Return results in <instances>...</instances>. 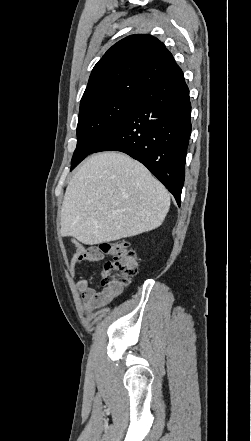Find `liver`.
<instances>
[{
  "label": "liver",
  "mask_w": 251,
  "mask_h": 441,
  "mask_svg": "<svg viewBox=\"0 0 251 441\" xmlns=\"http://www.w3.org/2000/svg\"><path fill=\"white\" fill-rule=\"evenodd\" d=\"M169 207L168 191L144 165L123 153H97L66 188L61 235L86 245L132 237L158 228Z\"/></svg>",
  "instance_id": "obj_1"
}]
</instances>
